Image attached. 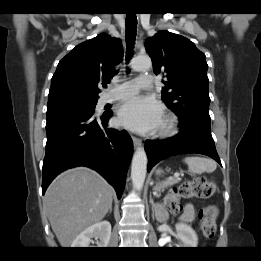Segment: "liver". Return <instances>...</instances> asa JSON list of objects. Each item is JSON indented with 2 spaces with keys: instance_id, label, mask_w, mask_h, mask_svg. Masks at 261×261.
Segmentation results:
<instances>
[{
  "instance_id": "obj_1",
  "label": "liver",
  "mask_w": 261,
  "mask_h": 261,
  "mask_svg": "<svg viewBox=\"0 0 261 261\" xmlns=\"http://www.w3.org/2000/svg\"><path fill=\"white\" fill-rule=\"evenodd\" d=\"M113 188L95 171L79 167L60 174L48 187L44 207L62 247L100 222L112 207Z\"/></svg>"
}]
</instances>
